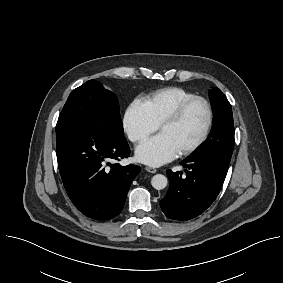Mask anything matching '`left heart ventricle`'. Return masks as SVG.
Returning a JSON list of instances; mask_svg holds the SVG:
<instances>
[{
    "mask_svg": "<svg viewBox=\"0 0 283 283\" xmlns=\"http://www.w3.org/2000/svg\"><path fill=\"white\" fill-rule=\"evenodd\" d=\"M207 123V111L202 103L193 104L183 118L174 125H168L160 130L181 151L194 143L203 133Z\"/></svg>",
    "mask_w": 283,
    "mask_h": 283,
    "instance_id": "b2bd125f",
    "label": "left heart ventricle"
}]
</instances>
